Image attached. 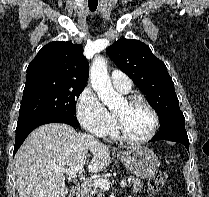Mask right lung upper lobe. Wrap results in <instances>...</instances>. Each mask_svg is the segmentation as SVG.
I'll use <instances>...</instances> for the list:
<instances>
[{
  "label": "right lung upper lobe",
  "instance_id": "obj_1",
  "mask_svg": "<svg viewBox=\"0 0 209 197\" xmlns=\"http://www.w3.org/2000/svg\"><path fill=\"white\" fill-rule=\"evenodd\" d=\"M89 65L83 47L54 41L45 45L27 68L26 83L36 80L87 83Z\"/></svg>",
  "mask_w": 209,
  "mask_h": 197
}]
</instances>
